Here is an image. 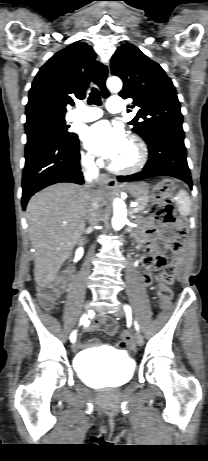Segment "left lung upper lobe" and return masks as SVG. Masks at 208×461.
Wrapping results in <instances>:
<instances>
[{
  "instance_id": "5c2ea615",
  "label": "left lung upper lobe",
  "mask_w": 208,
  "mask_h": 461,
  "mask_svg": "<svg viewBox=\"0 0 208 461\" xmlns=\"http://www.w3.org/2000/svg\"><path fill=\"white\" fill-rule=\"evenodd\" d=\"M110 66L111 73L124 83L119 95L133 99L134 105L130 108L138 107L136 117L129 124L146 143L160 131H183V115L175 87L158 63L136 46L123 44L112 56Z\"/></svg>"
}]
</instances>
